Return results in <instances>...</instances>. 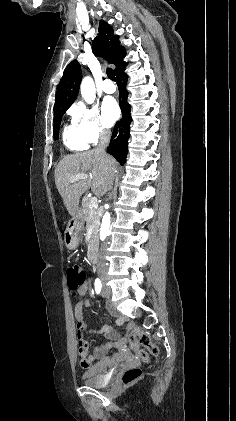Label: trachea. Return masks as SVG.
<instances>
[{
    "instance_id": "1",
    "label": "trachea",
    "mask_w": 236,
    "mask_h": 421,
    "mask_svg": "<svg viewBox=\"0 0 236 421\" xmlns=\"http://www.w3.org/2000/svg\"><path fill=\"white\" fill-rule=\"evenodd\" d=\"M106 73H107L108 78H110V80H113L114 82L116 81L115 73L111 68H107Z\"/></svg>"
}]
</instances>
